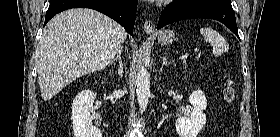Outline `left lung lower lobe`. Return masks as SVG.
Masks as SVG:
<instances>
[{
  "label": "left lung lower lobe",
  "instance_id": "0a47b994",
  "mask_svg": "<svg viewBox=\"0 0 280 137\" xmlns=\"http://www.w3.org/2000/svg\"><path fill=\"white\" fill-rule=\"evenodd\" d=\"M188 18L218 20L239 38L235 14L230 0H181L177 4L168 5L160 15L157 29Z\"/></svg>",
  "mask_w": 280,
  "mask_h": 137
}]
</instances>
